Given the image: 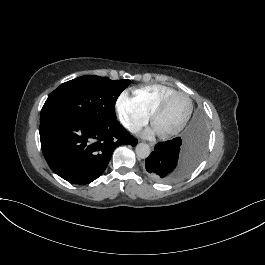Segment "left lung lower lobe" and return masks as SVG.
<instances>
[{"instance_id": "1", "label": "left lung lower lobe", "mask_w": 265, "mask_h": 265, "mask_svg": "<svg viewBox=\"0 0 265 265\" xmlns=\"http://www.w3.org/2000/svg\"><path fill=\"white\" fill-rule=\"evenodd\" d=\"M208 129L203 114L197 111L181 137L159 142L146 159L150 178L169 183L188 175L201 161L207 143Z\"/></svg>"}]
</instances>
